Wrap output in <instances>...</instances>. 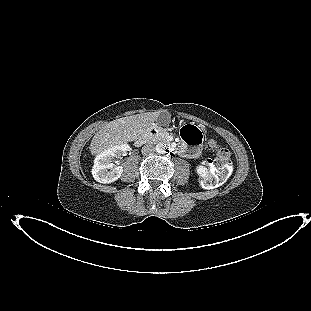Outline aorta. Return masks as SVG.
<instances>
[{"label":"aorta","instance_id":"obj_1","mask_svg":"<svg viewBox=\"0 0 311 311\" xmlns=\"http://www.w3.org/2000/svg\"><path fill=\"white\" fill-rule=\"evenodd\" d=\"M155 151L159 154H163L165 153L166 151V144L165 143H158L156 146H155Z\"/></svg>","mask_w":311,"mask_h":311}]
</instances>
